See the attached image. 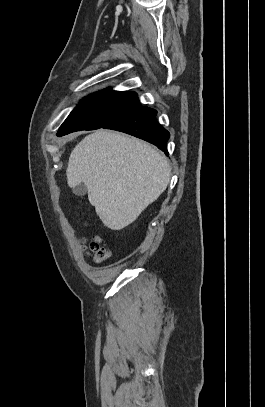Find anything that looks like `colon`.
<instances>
[{"label":"colon","instance_id":"1","mask_svg":"<svg viewBox=\"0 0 265 407\" xmlns=\"http://www.w3.org/2000/svg\"><path fill=\"white\" fill-rule=\"evenodd\" d=\"M84 242L88 254L95 262H102L109 257L110 251L102 245L100 237L93 236L90 239L85 238Z\"/></svg>","mask_w":265,"mask_h":407}]
</instances>
